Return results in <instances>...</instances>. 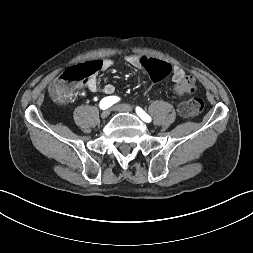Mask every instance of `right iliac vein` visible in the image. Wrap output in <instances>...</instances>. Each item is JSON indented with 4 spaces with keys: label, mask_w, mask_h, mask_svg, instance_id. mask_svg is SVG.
Instances as JSON below:
<instances>
[{
    "label": "right iliac vein",
    "mask_w": 253,
    "mask_h": 253,
    "mask_svg": "<svg viewBox=\"0 0 253 253\" xmlns=\"http://www.w3.org/2000/svg\"><path fill=\"white\" fill-rule=\"evenodd\" d=\"M110 114V110H104L102 113H101V118L102 119H106Z\"/></svg>",
    "instance_id": "1"
}]
</instances>
